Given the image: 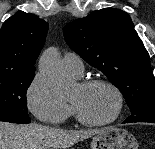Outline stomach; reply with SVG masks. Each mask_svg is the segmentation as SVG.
<instances>
[{
  "label": "stomach",
  "mask_w": 155,
  "mask_h": 149,
  "mask_svg": "<svg viewBox=\"0 0 155 149\" xmlns=\"http://www.w3.org/2000/svg\"><path fill=\"white\" fill-rule=\"evenodd\" d=\"M90 149H138V143L127 130L109 127L93 137Z\"/></svg>",
  "instance_id": "obj_1"
}]
</instances>
